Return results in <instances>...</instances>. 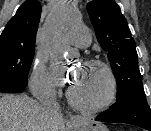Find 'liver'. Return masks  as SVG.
Wrapping results in <instances>:
<instances>
[{"label":"liver","instance_id":"obj_1","mask_svg":"<svg viewBox=\"0 0 151 131\" xmlns=\"http://www.w3.org/2000/svg\"><path fill=\"white\" fill-rule=\"evenodd\" d=\"M0 131H64V122H55L43 105L26 95H3Z\"/></svg>","mask_w":151,"mask_h":131}]
</instances>
